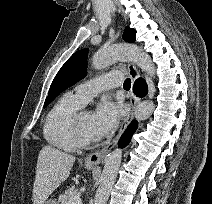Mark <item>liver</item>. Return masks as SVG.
<instances>
[{
    "mask_svg": "<svg viewBox=\"0 0 212 204\" xmlns=\"http://www.w3.org/2000/svg\"><path fill=\"white\" fill-rule=\"evenodd\" d=\"M76 158L52 146L40 150L33 185V204L44 201L64 182L70 174Z\"/></svg>",
    "mask_w": 212,
    "mask_h": 204,
    "instance_id": "liver-1",
    "label": "liver"
}]
</instances>
